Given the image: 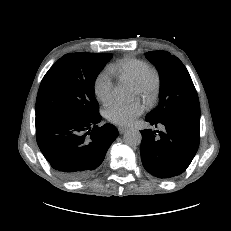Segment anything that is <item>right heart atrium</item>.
Listing matches in <instances>:
<instances>
[{
    "label": "right heart atrium",
    "instance_id": "right-heart-atrium-1",
    "mask_svg": "<svg viewBox=\"0 0 231 231\" xmlns=\"http://www.w3.org/2000/svg\"><path fill=\"white\" fill-rule=\"evenodd\" d=\"M94 93L104 104L111 101L113 96V81L109 70L100 72L94 81Z\"/></svg>",
    "mask_w": 231,
    "mask_h": 231
}]
</instances>
